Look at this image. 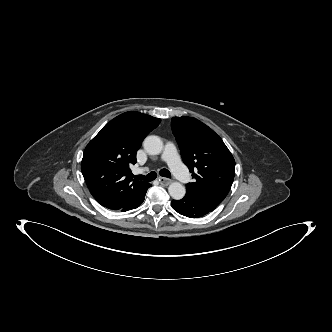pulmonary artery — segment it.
Wrapping results in <instances>:
<instances>
[{
	"label": "pulmonary artery",
	"mask_w": 332,
	"mask_h": 332,
	"mask_svg": "<svg viewBox=\"0 0 332 332\" xmlns=\"http://www.w3.org/2000/svg\"><path fill=\"white\" fill-rule=\"evenodd\" d=\"M162 159L168 163L172 172L175 176L182 182H187L189 180V173L184 165L180 162L175 145L168 142L164 148L162 154Z\"/></svg>",
	"instance_id": "e3ab8cb5"
}]
</instances>
